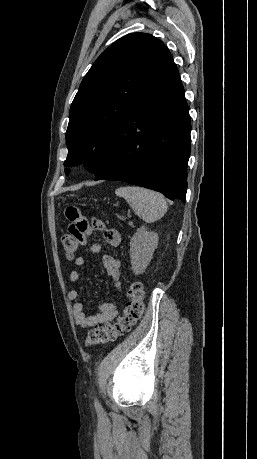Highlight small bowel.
Returning <instances> with one entry per match:
<instances>
[{
  "label": "small bowel",
  "mask_w": 257,
  "mask_h": 459,
  "mask_svg": "<svg viewBox=\"0 0 257 459\" xmlns=\"http://www.w3.org/2000/svg\"><path fill=\"white\" fill-rule=\"evenodd\" d=\"M65 220L70 222V227H67V236H73L74 241H78L79 247H87L86 252L90 254H99L101 246L98 243H92L90 236H93L94 231L102 233L105 242L111 247H118L121 244V234L112 228L107 227L100 219L94 218L92 221L87 220V215L83 205H66ZM92 243V244H91ZM102 263L107 275L112 279L114 288L122 291L121 282V262L115 256L106 254L102 257ZM74 264L77 267L85 265V258L78 256L74 259ZM69 280L72 283L78 282L81 278L79 270H72L69 273ZM80 291L71 289L69 299L74 301L73 316L75 322L84 328L95 327L99 324H106L112 321L119 314V307L113 302H102L98 306V312L88 315L85 311L83 302L78 301Z\"/></svg>",
  "instance_id": "1"
}]
</instances>
